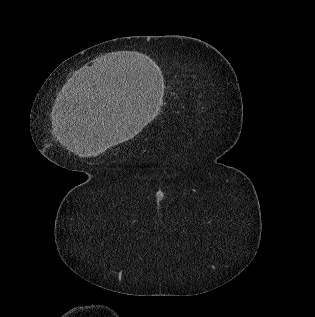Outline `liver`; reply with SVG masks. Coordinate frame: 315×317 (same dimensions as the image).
<instances>
[{
    "mask_svg": "<svg viewBox=\"0 0 315 317\" xmlns=\"http://www.w3.org/2000/svg\"><path fill=\"white\" fill-rule=\"evenodd\" d=\"M138 129L139 125L127 118L98 115L89 109L86 113L71 112L63 118L60 142L79 156H95L132 138Z\"/></svg>",
    "mask_w": 315,
    "mask_h": 317,
    "instance_id": "6515ba94",
    "label": "liver"
}]
</instances>
